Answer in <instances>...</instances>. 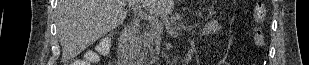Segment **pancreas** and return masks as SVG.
<instances>
[{
	"instance_id": "obj_1",
	"label": "pancreas",
	"mask_w": 309,
	"mask_h": 65,
	"mask_svg": "<svg viewBox=\"0 0 309 65\" xmlns=\"http://www.w3.org/2000/svg\"><path fill=\"white\" fill-rule=\"evenodd\" d=\"M163 27L160 29L151 26L150 29H147L142 33V35L137 39L136 49L142 54L147 55L150 53V57L153 58V55L158 54L161 47V31Z\"/></svg>"
}]
</instances>
